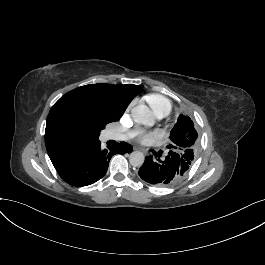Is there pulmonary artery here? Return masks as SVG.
Instances as JSON below:
<instances>
[{"label": "pulmonary artery", "instance_id": "pulmonary-artery-1", "mask_svg": "<svg viewBox=\"0 0 265 265\" xmlns=\"http://www.w3.org/2000/svg\"><path fill=\"white\" fill-rule=\"evenodd\" d=\"M141 135H142V130L140 128H135L133 131H130L128 133V138L130 140H135L137 137H140ZM110 136L118 140H125L127 138L126 135L118 133L115 130H110Z\"/></svg>", "mask_w": 265, "mask_h": 265}]
</instances>
